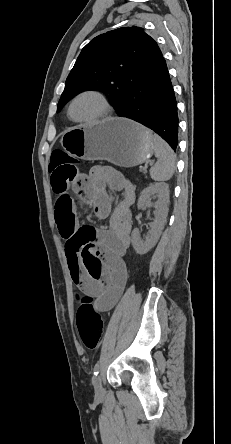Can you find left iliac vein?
<instances>
[{
	"instance_id": "4c4485c4",
	"label": "left iliac vein",
	"mask_w": 231,
	"mask_h": 444,
	"mask_svg": "<svg viewBox=\"0 0 231 444\" xmlns=\"http://www.w3.org/2000/svg\"><path fill=\"white\" fill-rule=\"evenodd\" d=\"M93 386H94L95 395L97 397L103 396L104 388H103V385H102L101 377L99 375L94 376V378H93Z\"/></svg>"
}]
</instances>
